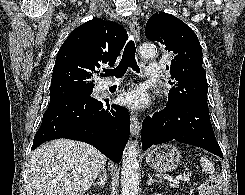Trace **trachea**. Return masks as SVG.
<instances>
[{"instance_id": "trachea-1", "label": "trachea", "mask_w": 245, "mask_h": 195, "mask_svg": "<svg viewBox=\"0 0 245 195\" xmlns=\"http://www.w3.org/2000/svg\"><path fill=\"white\" fill-rule=\"evenodd\" d=\"M136 47L134 41L130 40L124 48L122 59L119 65L114 69H107L102 74L104 77L115 76L116 78H122L126 73L128 67L132 68L135 72L139 73L140 69L135 59Z\"/></svg>"}]
</instances>
